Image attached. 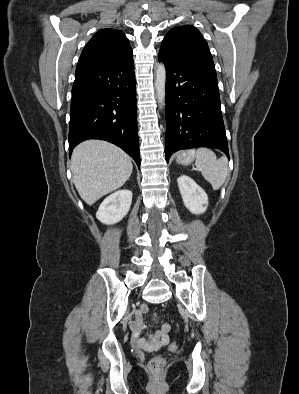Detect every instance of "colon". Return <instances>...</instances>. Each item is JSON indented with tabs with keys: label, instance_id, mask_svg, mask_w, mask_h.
I'll list each match as a JSON object with an SVG mask.
<instances>
[{
	"label": "colon",
	"instance_id": "colon-1",
	"mask_svg": "<svg viewBox=\"0 0 299 394\" xmlns=\"http://www.w3.org/2000/svg\"><path fill=\"white\" fill-rule=\"evenodd\" d=\"M177 345L172 343L170 348L175 349ZM164 365V359L162 357H154L149 361L148 367L152 372H158Z\"/></svg>",
	"mask_w": 299,
	"mask_h": 394
}]
</instances>
